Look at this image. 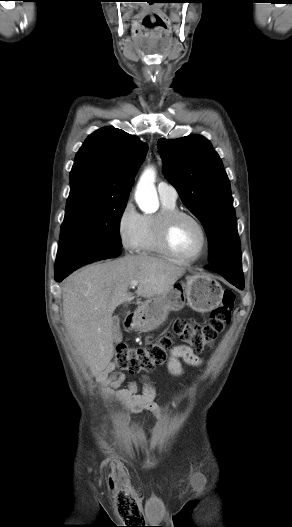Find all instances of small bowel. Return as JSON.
Segmentation results:
<instances>
[{"mask_svg": "<svg viewBox=\"0 0 292 527\" xmlns=\"http://www.w3.org/2000/svg\"><path fill=\"white\" fill-rule=\"evenodd\" d=\"M182 361L191 366H199L202 363L201 358L186 345H176L170 351L167 363L169 372L174 376H180L183 373ZM104 381L115 390L125 380L123 372L115 369L114 365H109L103 372ZM139 383L142 385V391L139 393ZM156 391L149 378L142 375L139 381H130L127 388L118 390L114 397L130 413H141L144 411L152 412L157 418H160L162 409L154 401Z\"/></svg>", "mask_w": 292, "mask_h": 527, "instance_id": "c3829d8e", "label": "small bowel"}]
</instances>
